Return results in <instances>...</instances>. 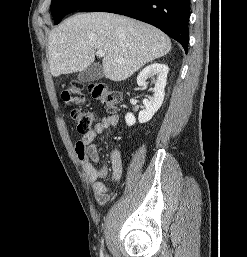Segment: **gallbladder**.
Returning a JSON list of instances; mask_svg holds the SVG:
<instances>
[{"label":"gallbladder","instance_id":"obj_1","mask_svg":"<svg viewBox=\"0 0 247 257\" xmlns=\"http://www.w3.org/2000/svg\"><path fill=\"white\" fill-rule=\"evenodd\" d=\"M103 76L104 72L102 66L99 63H93L78 74L77 81L79 83H88L97 81L103 78Z\"/></svg>","mask_w":247,"mask_h":257}]
</instances>
